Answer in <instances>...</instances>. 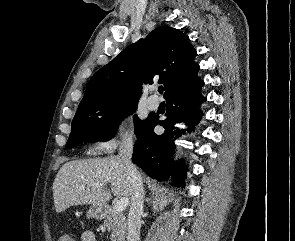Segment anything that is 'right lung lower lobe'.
<instances>
[{
    "instance_id": "1",
    "label": "right lung lower lobe",
    "mask_w": 295,
    "mask_h": 241,
    "mask_svg": "<svg viewBox=\"0 0 295 241\" xmlns=\"http://www.w3.org/2000/svg\"><path fill=\"white\" fill-rule=\"evenodd\" d=\"M202 80L189 85L166 97L165 120L159 121L158 115H149L147 123L137 133L132 161L142 168L150 177L158 181L168 180L172 174V184L183 187L186 177V166L183 162H174L170 158L175 148L174 140L182 131L175 125L186 122L190 129L200 121L202 113L199 105L206 100L201 94ZM159 124L165 128L161 135L154 133V127Z\"/></svg>"
}]
</instances>
